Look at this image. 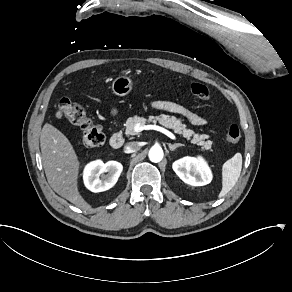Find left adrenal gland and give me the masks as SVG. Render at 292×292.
I'll list each match as a JSON object with an SVG mask.
<instances>
[{
	"instance_id": "a2214340",
	"label": "left adrenal gland",
	"mask_w": 292,
	"mask_h": 292,
	"mask_svg": "<svg viewBox=\"0 0 292 292\" xmlns=\"http://www.w3.org/2000/svg\"><path fill=\"white\" fill-rule=\"evenodd\" d=\"M167 144H168L169 149L171 151H174L177 147L184 146V144H181V143H175V144L167 143Z\"/></svg>"
}]
</instances>
